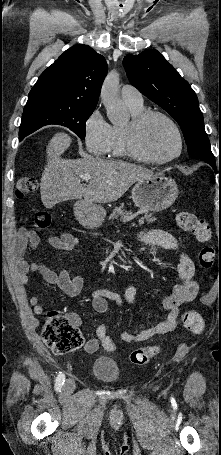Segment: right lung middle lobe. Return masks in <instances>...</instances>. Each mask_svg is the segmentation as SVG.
I'll list each match as a JSON object with an SVG mask.
<instances>
[{
  "mask_svg": "<svg viewBox=\"0 0 221 455\" xmlns=\"http://www.w3.org/2000/svg\"><path fill=\"white\" fill-rule=\"evenodd\" d=\"M94 109L55 104L26 105L19 129V140L21 141L25 136L49 124L68 127L81 139H84L86 121Z\"/></svg>",
  "mask_w": 221,
  "mask_h": 455,
  "instance_id": "dd1d6c3e",
  "label": "right lung middle lobe"
}]
</instances>
